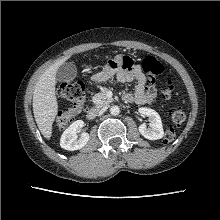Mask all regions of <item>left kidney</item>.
I'll return each instance as SVG.
<instances>
[{
  "mask_svg": "<svg viewBox=\"0 0 220 220\" xmlns=\"http://www.w3.org/2000/svg\"><path fill=\"white\" fill-rule=\"evenodd\" d=\"M138 111L141 115L148 116L150 121V128H147L144 123L139 126L141 135L149 140L161 139L164 135V130L159 114L155 110L147 107H141Z\"/></svg>",
  "mask_w": 220,
  "mask_h": 220,
  "instance_id": "5707ae66",
  "label": "left kidney"
}]
</instances>
